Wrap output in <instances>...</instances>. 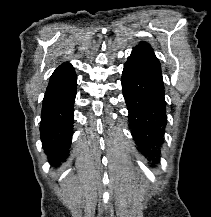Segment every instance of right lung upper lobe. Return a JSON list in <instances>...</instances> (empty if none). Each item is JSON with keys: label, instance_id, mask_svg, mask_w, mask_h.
<instances>
[{"label": "right lung upper lobe", "instance_id": "right-lung-upper-lobe-1", "mask_svg": "<svg viewBox=\"0 0 211 217\" xmlns=\"http://www.w3.org/2000/svg\"><path fill=\"white\" fill-rule=\"evenodd\" d=\"M74 74V68L69 63H64L54 71L48 86L63 83L70 79Z\"/></svg>", "mask_w": 211, "mask_h": 217}]
</instances>
